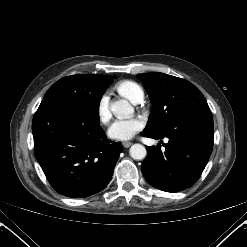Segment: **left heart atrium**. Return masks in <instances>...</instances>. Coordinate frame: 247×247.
Returning <instances> with one entry per match:
<instances>
[{
	"label": "left heart atrium",
	"mask_w": 247,
	"mask_h": 247,
	"mask_svg": "<svg viewBox=\"0 0 247 247\" xmlns=\"http://www.w3.org/2000/svg\"><path fill=\"white\" fill-rule=\"evenodd\" d=\"M144 123L139 118L116 120L108 129L111 139L125 141L131 139L137 132L142 130Z\"/></svg>",
	"instance_id": "left-heart-atrium-1"
}]
</instances>
